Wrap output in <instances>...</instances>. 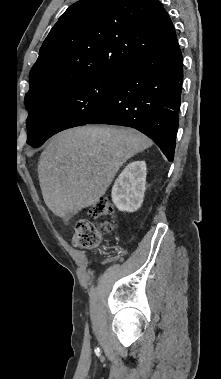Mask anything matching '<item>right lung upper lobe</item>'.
I'll list each match as a JSON object with an SVG mask.
<instances>
[{"label":"right lung upper lobe","mask_w":221,"mask_h":379,"mask_svg":"<svg viewBox=\"0 0 221 379\" xmlns=\"http://www.w3.org/2000/svg\"><path fill=\"white\" fill-rule=\"evenodd\" d=\"M177 38L159 0H81L45 39L25 103L71 81L119 70Z\"/></svg>","instance_id":"cb5924a9"}]
</instances>
